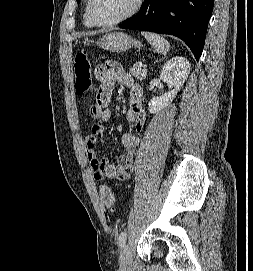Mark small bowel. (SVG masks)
I'll return each mask as SVG.
<instances>
[{
	"instance_id": "obj_1",
	"label": "small bowel",
	"mask_w": 253,
	"mask_h": 271,
	"mask_svg": "<svg viewBox=\"0 0 253 271\" xmlns=\"http://www.w3.org/2000/svg\"><path fill=\"white\" fill-rule=\"evenodd\" d=\"M98 93L96 104L90 107V116L95 121L90 132L83 137L84 151L96 181L129 178L136 166V149L140 144V137L133 133H124L122 144L124 152L121 160L110 163L107 159H99L95 152L96 143L103 137L104 123L111 117V100L115 84H120L131 90L130 108L126 119L134 124L137 131H142L146 123V114L141 105L142 89L133 77L124 72L121 65L115 61H108L97 68Z\"/></svg>"
}]
</instances>
